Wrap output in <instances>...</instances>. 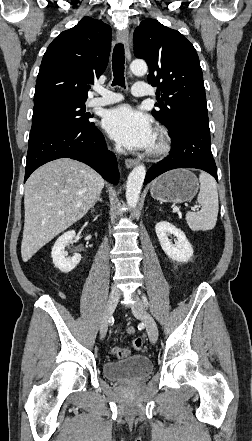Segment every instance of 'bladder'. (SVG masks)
<instances>
[{
  "label": "bladder",
  "mask_w": 252,
  "mask_h": 441,
  "mask_svg": "<svg viewBox=\"0 0 252 441\" xmlns=\"http://www.w3.org/2000/svg\"><path fill=\"white\" fill-rule=\"evenodd\" d=\"M151 360L143 355L128 356L119 361H108L103 365V372L107 379L121 382H138L152 372Z\"/></svg>",
  "instance_id": "obj_1"
}]
</instances>
